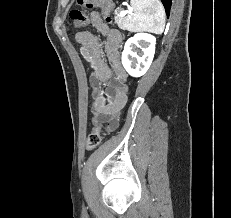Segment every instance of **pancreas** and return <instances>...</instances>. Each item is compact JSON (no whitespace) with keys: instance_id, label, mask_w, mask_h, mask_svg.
<instances>
[{"instance_id":"pancreas-1","label":"pancreas","mask_w":231,"mask_h":218,"mask_svg":"<svg viewBox=\"0 0 231 218\" xmlns=\"http://www.w3.org/2000/svg\"><path fill=\"white\" fill-rule=\"evenodd\" d=\"M123 18H121V17H116L115 18V22H116V24L118 25V27L120 28V29H124V23H123Z\"/></svg>"}]
</instances>
